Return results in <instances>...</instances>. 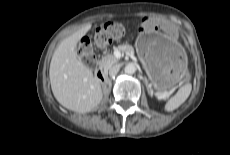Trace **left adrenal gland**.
Here are the masks:
<instances>
[{"mask_svg": "<svg viewBox=\"0 0 230 155\" xmlns=\"http://www.w3.org/2000/svg\"><path fill=\"white\" fill-rule=\"evenodd\" d=\"M144 81H145L146 87H147V89H148V93L152 96V92L149 90V87H148L147 79L144 78Z\"/></svg>", "mask_w": 230, "mask_h": 155, "instance_id": "obj_1", "label": "left adrenal gland"}]
</instances>
